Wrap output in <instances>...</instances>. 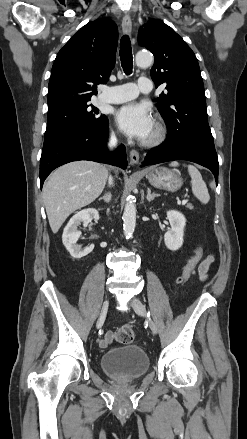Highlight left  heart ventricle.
<instances>
[{
    "mask_svg": "<svg viewBox=\"0 0 247 439\" xmlns=\"http://www.w3.org/2000/svg\"><path fill=\"white\" fill-rule=\"evenodd\" d=\"M153 129H154V128H153ZM152 133H153V130H152V132H151V134H150V136H149V137H151ZM149 137H148V138H149ZM148 138H147V139H148Z\"/></svg>",
    "mask_w": 247,
    "mask_h": 439,
    "instance_id": "left-heart-ventricle-1",
    "label": "left heart ventricle"
}]
</instances>
